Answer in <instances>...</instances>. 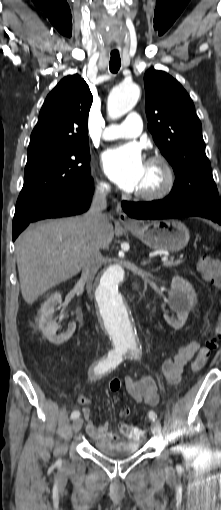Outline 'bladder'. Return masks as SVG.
I'll list each match as a JSON object with an SVG mask.
<instances>
[{
  "mask_svg": "<svg viewBox=\"0 0 221 510\" xmlns=\"http://www.w3.org/2000/svg\"><path fill=\"white\" fill-rule=\"evenodd\" d=\"M98 452L112 458H123L136 453L139 450V443L135 440L124 442H98L94 441Z\"/></svg>",
  "mask_w": 221,
  "mask_h": 510,
  "instance_id": "1",
  "label": "bladder"
}]
</instances>
